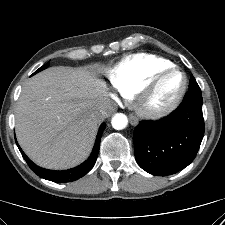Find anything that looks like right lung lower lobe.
I'll return each mask as SVG.
<instances>
[{
	"label": "right lung lower lobe",
	"mask_w": 225,
	"mask_h": 225,
	"mask_svg": "<svg viewBox=\"0 0 225 225\" xmlns=\"http://www.w3.org/2000/svg\"><path fill=\"white\" fill-rule=\"evenodd\" d=\"M105 126H106V124L103 123L99 128V132H98V135L96 138L94 149H93V152L91 153L90 157L84 163L79 165L78 167H75V168H72L69 170H64V171L46 170V169H43V168L37 166L30 159H28V157L25 155V153L19 147L18 143L17 142L16 143L18 145V148H19L23 158L27 162L28 166L38 176H40L46 180H50V181L57 182V183L71 182V181H75V180L83 177L93 168V166L96 162L97 156H98L100 140H101L102 133L105 129Z\"/></svg>",
	"instance_id": "98d812e1"
}]
</instances>
